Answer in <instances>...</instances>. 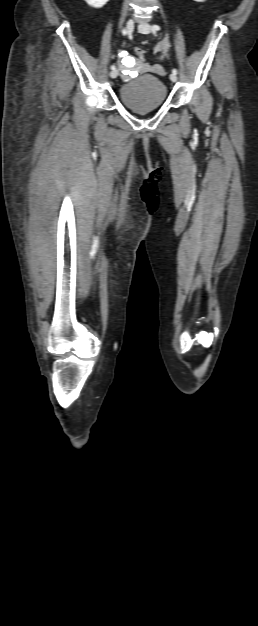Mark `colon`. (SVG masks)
I'll use <instances>...</instances> for the list:
<instances>
[{"label":"colon","instance_id":"5ec220e1","mask_svg":"<svg viewBox=\"0 0 258 626\" xmlns=\"http://www.w3.org/2000/svg\"><path fill=\"white\" fill-rule=\"evenodd\" d=\"M135 53L139 58H143L144 57V51L140 48H135Z\"/></svg>","mask_w":258,"mask_h":626}]
</instances>
